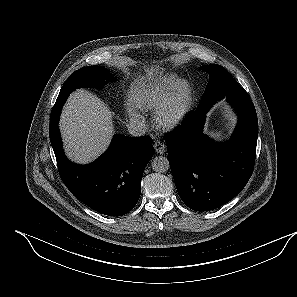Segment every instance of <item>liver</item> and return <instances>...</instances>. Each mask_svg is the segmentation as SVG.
<instances>
[{
  "label": "liver",
  "instance_id": "obj_1",
  "mask_svg": "<svg viewBox=\"0 0 297 297\" xmlns=\"http://www.w3.org/2000/svg\"><path fill=\"white\" fill-rule=\"evenodd\" d=\"M60 129L68 158L86 164L109 145L114 130L112 113L97 96L81 89L68 98Z\"/></svg>",
  "mask_w": 297,
  "mask_h": 297
}]
</instances>
